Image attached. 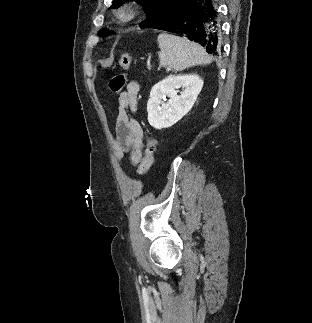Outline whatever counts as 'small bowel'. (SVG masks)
Instances as JSON below:
<instances>
[{
    "instance_id": "c3829d8e",
    "label": "small bowel",
    "mask_w": 312,
    "mask_h": 323,
    "mask_svg": "<svg viewBox=\"0 0 312 323\" xmlns=\"http://www.w3.org/2000/svg\"><path fill=\"white\" fill-rule=\"evenodd\" d=\"M139 89V83L132 80L118 96V114L113 139V153L116 159L123 161L129 153L133 165L141 163L144 148V133L136 116Z\"/></svg>"
}]
</instances>
